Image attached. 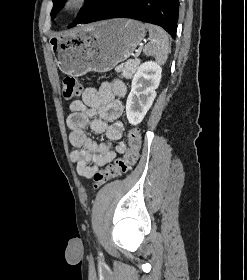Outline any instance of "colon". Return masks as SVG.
<instances>
[{"label":"colon","instance_id":"1","mask_svg":"<svg viewBox=\"0 0 247 280\" xmlns=\"http://www.w3.org/2000/svg\"><path fill=\"white\" fill-rule=\"evenodd\" d=\"M82 85L73 76H67L62 82V93L64 98L72 99L80 95ZM141 134L138 128H132L128 132V148L121 158H117L113 163L98 170L94 176V187L100 188L110 180L126 173L137 162L141 149Z\"/></svg>","mask_w":247,"mask_h":280}]
</instances>
